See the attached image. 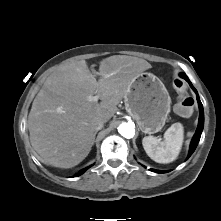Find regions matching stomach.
<instances>
[{
	"instance_id": "obj_1",
	"label": "stomach",
	"mask_w": 221,
	"mask_h": 221,
	"mask_svg": "<svg viewBox=\"0 0 221 221\" xmlns=\"http://www.w3.org/2000/svg\"><path fill=\"white\" fill-rule=\"evenodd\" d=\"M126 111L145 134L159 132L170 112L171 98L163 82L149 72L140 73L124 96Z\"/></svg>"
}]
</instances>
